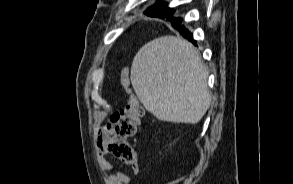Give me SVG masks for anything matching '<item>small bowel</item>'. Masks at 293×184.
I'll return each mask as SVG.
<instances>
[{"instance_id": "c3829d8e", "label": "small bowel", "mask_w": 293, "mask_h": 184, "mask_svg": "<svg viewBox=\"0 0 293 184\" xmlns=\"http://www.w3.org/2000/svg\"><path fill=\"white\" fill-rule=\"evenodd\" d=\"M106 129L107 127L105 126L100 127L96 135L97 142L99 145V154H100L98 157L99 163L104 170L112 171V173H110L107 176L106 182L107 184H130V178L128 177V175H126L124 172L119 170L113 171L112 163L108 159L102 156L103 152L101 150V146L105 139ZM131 170L135 175L138 174L139 167L137 162L131 165Z\"/></svg>"}]
</instances>
